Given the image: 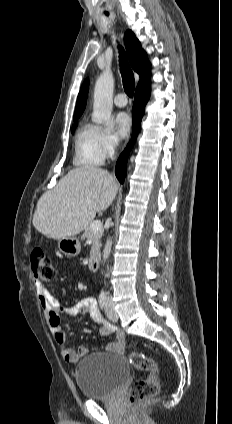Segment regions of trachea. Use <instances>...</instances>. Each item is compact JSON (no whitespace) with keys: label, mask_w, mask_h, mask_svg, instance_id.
<instances>
[{"label":"trachea","mask_w":232,"mask_h":424,"mask_svg":"<svg viewBox=\"0 0 232 424\" xmlns=\"http://www.w3.org/2000/svg\"><path fill=\"white\" fill-rule=\"evenodd\" d=\"M108 15V13H107ZM120 48V71L123 79V86L126 94L130 97H133L134 89H135V80L133 72L128 64L126 54L124 50Z\"/></svg>","instance_id":"3493384b"}]
</instances>
